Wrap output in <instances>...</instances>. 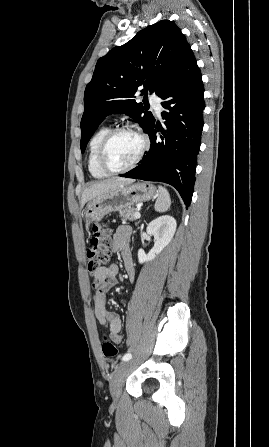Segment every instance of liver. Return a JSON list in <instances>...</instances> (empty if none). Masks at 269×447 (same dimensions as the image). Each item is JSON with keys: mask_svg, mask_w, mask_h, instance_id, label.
Returning a JSON list of instances; mask_svg holds the SVG:
<instances>
[{"mask_svg": "<svg viewBox=\"0 0 269 447\" xmlns=\"http://www.w3.org/2000/svg\"><path fill=\"white\" fill-rule=\"evenodd\" d=\"M135 180H128V178H118V180H101V182H91L89 188H86L82 194L81 198V208H84L86 202L97 198V196H102L106 192H111L115 190L118 186H128L132 184Z\"/></svg>", "mask_w": 269, "mask_h": 447, "instance_id": "obj_1", "label": "liver"}]
</instances>
